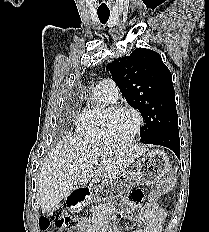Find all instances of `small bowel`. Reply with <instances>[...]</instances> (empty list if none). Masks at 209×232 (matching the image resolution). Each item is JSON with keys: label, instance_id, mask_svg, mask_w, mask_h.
I'll use <instances>...</instances> for the list:
<instances>
[{"label": "small bowel", "instance_id": "small-bowel-1", "mask_svg": "<svg viewBox=\"0 0 209 232\" xmlns=\"http://www.w3.org/2000/svg\"><path fill=\"white\" fill-rule=\"evenodd\" d=\"M127 207L129 213H134V208L144 205L139 212V219L145 223L144 227L137 229L109 228L108 220L114 217V211L107 208L102 214L97 215L91 222L89 220L81 221L80 232H161L162 225L166 218V211L158 206L155 199H148L145 185H134V190H128ZM146 203V204H145Z\"/></svg>", "mask_w": 209, "mask_h": 232}]
</instances>
